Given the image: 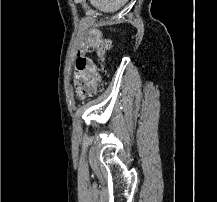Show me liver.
Here are the masks:
<instances>
[{
    "label": "liver",
    "instance_id": "6515ba94",
    "mask_svg": "<svg viewBox=\"0 0 217 202\" xmlns=\"http://www.w3.org/2000/svg\"><path fill=\"white\" fill-rule=\"evenodd\" d=\"M89 2L101 12H118L128 0H89Z\"/></svg>",
    "mask_w": 217,
    "mask_h": 202
}]
</instances>
